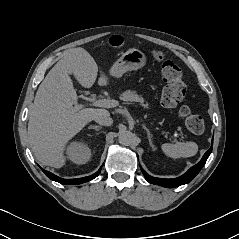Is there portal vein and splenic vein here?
<instances>
[{"label":"portal vein and splenic vein","mask_w":239,"mask_h":239,"mask_svg":"<svg viewBox=\"0 0 239 239\" xmlns=\"http://www.w3.org/2000/svg\"><path fill=\"white\" fill-rule=\"evenodd\" d=\"M93 105L97 107L112 108V107H116L118 105V102L116 100L99 99V100H93ZM81 108H82L81 105L75 106V110H79Z\"/></svg>","instance_id":"18ae733b"}]
</instances>
